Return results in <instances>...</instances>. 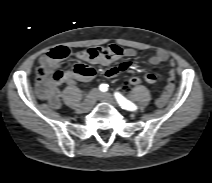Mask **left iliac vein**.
<instances>
[{"instance_id": "left-iliac-vein-1", "label": "left iliac vein", "mask_w": 212, "mask_h": 183, "mask_svg": "<svg viewBox=\"0 0 212 183\" xmlns=\"http://www.w3.org/2000/svg\"><path fill=\"white\" fill-rule=\"evenodd\" d=\"M98 99L101 100V101L108 102L110 104L116 103L115 98L109 93H100L99 96H98Z\"/></svg>"}]
</instances>
